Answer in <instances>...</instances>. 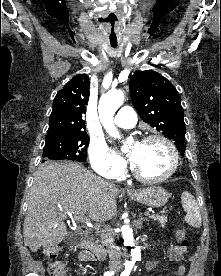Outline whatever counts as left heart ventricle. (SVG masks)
<instances>
[{"instance_id":"left-heart-ventricle-1","label":"left heart ventricle","mask_w":221,"mask_h":276,"mask_svg":"<svg viewBox=\"0 0 221 276\" xmlns=\"http://www.w3.org/2000/svg\"><path fill=\"white\" fill-rule=\"evenodd\" d=\"M132 151H136L134 165L146 176H160L170 168L171 154L167 146L160 140L135 144L131 148Z\"/></svg>"}]
</instances>
